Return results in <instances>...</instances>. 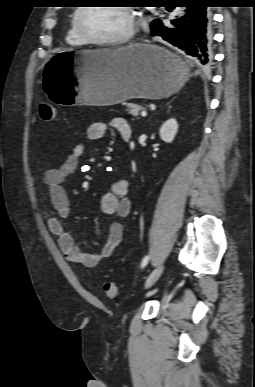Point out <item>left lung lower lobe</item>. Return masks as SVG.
<instances>
[{"label":"left lung lower lobe","instance_id":"1","mask_svg":"<svg viewBox=\"0 0 255 387\" xmlns=\"http://www.w3.org/2000/svg\"><path fill=\"white\" fill-rule=\"evenodd\" d=\"M181 3L187 4L186 14L171 21L174 27H165L161 20L155 19L151 23V35L161 36L173 46L183 50L191 56L192 63L198 66L208 65L212 60L213 42L212 13L209 4L214 2L183 0Z\"/></svg>","mask_w":255,"mask_h":387}]
</instances>
